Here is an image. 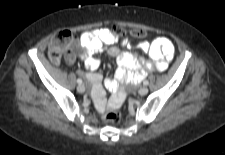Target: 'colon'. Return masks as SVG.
<instances>
[{"mask_svg": "<svg viewBox=\"0 0 225 155\" xmlns=\"http://www.w3.org/2000/svg\"><path fill=\"white\" fill-rule=\"evenodd\" d=\"M111 31L117 40L127 38V31L124 28L115 26ZM129 36L133 42L139 43L146 36V33L143 30L136 29L131 31ZM72 39L73 36L69 31H60L51 38L48 55L53 63H58L62 56L66 57L69 54L68 46L71 44ZM103 119L108 123H117L120 115L108 105L103 113Z\"/></svg>", "mask_w": 225, "mask_h": 155, "instance_id": "5ec220e1", "label": "colon"}]
</instances>
